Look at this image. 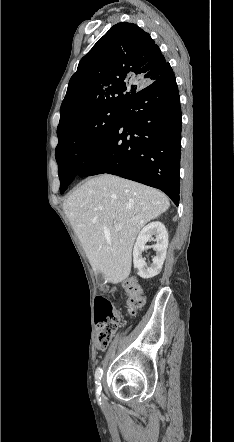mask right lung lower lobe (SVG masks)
Wrapping results in <instances>:
<instances>
[{"mask_svg":"<svg viewBox=\"0 0 234 442\" xmlns=\"http://www.w3.org/2000/svg\"><path fill=\"white\" fill-rule=\"evenodd\" d=\"M181 124L179 92L169 64L121 106L114 128L75 176L118 175L158 188L179 205Z\"/></svg>","mask_w":234,"mask_h":442,"instance_id":"1","label":"right lung lower lobe"}]
</instances>
